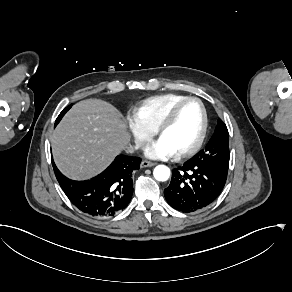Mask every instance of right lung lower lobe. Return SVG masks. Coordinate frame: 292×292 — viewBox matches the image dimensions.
<instances>
[{
	"instance_id": "right-lung-lower-lobe-1",
	"label": "right lung lower lobe",
	"mask_w": 292,
	"mask_h": 292,
	"mask_svg": "<svg viewBox=\"0 0 292 292\" xmlns=\"http://www.w3.org/2000/svg\"><path fill=\"white\" fill-rule=\"evenodd\" d=\"M138 157L119 155L96 177L76 181L65 177L52 161L55 176L69 200L92 217L113 216L123 210L133 194L132 172L140 168Z\"/></svg>"
}]
</instances>
